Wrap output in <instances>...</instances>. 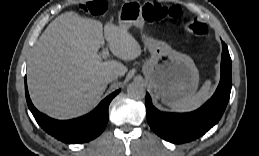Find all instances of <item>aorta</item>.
<instances>
[{"label": "aorta", "instance_id": "aorta-1", "mask_svg": "<svg viewBox=\"0 0 259 156\" xmlns=\"http://www.w3.org/2000/svg\"><path fill=\"white\" fill-rule=\"evenodd\" d=\"M127 93L134 99H143L146 95L144 87L140 83L136 82H132L128 85Z\"/></svg>", "mask_w": 259, "mask_h": 156}]
</instances>
